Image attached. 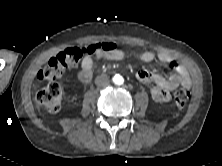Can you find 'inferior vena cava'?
<instances>
[{"mask_svg": "<svg viewBox=\"0 0 222 166\" xmlns=\"http://www.w3.org/2000/svg\"><path fill=\"white\" fill-rule=\"evenodd\" d=\"M95 83L96 85L103 87V86H107L110 83V81L106 75H100L95 79Z\"/></svg>", "mask_w": 222, "mask_h": 166, "instance_id": "1", "label": "inferior vena cava"}]
</instances>
